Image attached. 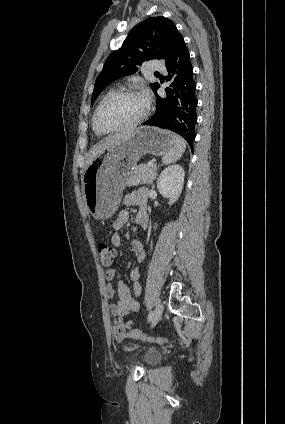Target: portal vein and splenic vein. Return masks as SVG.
<instances>
[{"instance_id": "18ae733b", "label": "portal vein and splenic vein", "mask_w": 285, "mask_h": 424, "mask_svg": "<svg viewBox=\"0 0 285 424\" xmlns=\"http://www.w3.org/2000/svg\"><path fill=\"white\" fill-rule=\"evenodd\" d=\"M154 164V162L153 161H150L149 163H148V165L149 166H152Z\"/></svg>"}]
</instances>
